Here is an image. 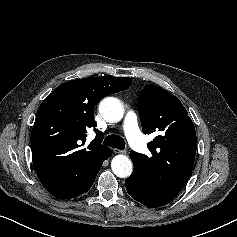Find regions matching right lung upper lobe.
<instances>
[{
    "label": "right lung upper lobe",
    "mask_w": 237,
    "mask_h": 237,
    "mask_svg": "<svg viewBox=\"0 0 237 237\" xmlns=\"http://www.w3.org/2000/svg\"><path fill=\"white\" fill-rule=\"evenodd\" d=\"M128 77H91L59 85L40 105L31 134L32 160L48 190L60 199L77 197L90 181L92 166L110 157L93 122L94 108L105 96L127 90ZM95 139L86 147L87 130Z\"/></svg>",
    "instance_id": "obj_1"
}]
</instances>
